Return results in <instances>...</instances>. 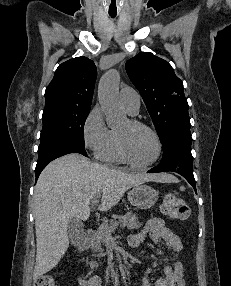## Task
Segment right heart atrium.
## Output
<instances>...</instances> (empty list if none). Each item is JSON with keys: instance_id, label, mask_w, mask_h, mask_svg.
Returning <instances> with one entry per match:
<instances>
[{"instance_id": "obj_1", "label": "right heart atrium", "mask_w": 231, "mask_h": 286, "mask_svg": "<svg viewBox=\"0 0 231 286\" xmlns=\"http://www.w3.org/2000/svg\"><path fill=\"white\" fill-rule=\"evenodd\" d=\"M110 134L111 131L106 126L101 109L99 107L91 109L82 126L85 148L97 154L109 141Z\"/></svg>"}]
</instances>
